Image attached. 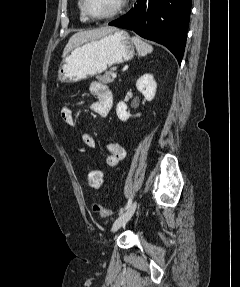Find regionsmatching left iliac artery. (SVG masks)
Instances as JSON below:
<instances>
[{
  "instance_id": "left-iliac-artery-1",
  "label": "left iliac artery",
  "mask_w": 240,
  "mask_h": 287,
  "mask_svg": "<svg viewBox=\"0 0 240 287\" xmlns=\"http://www.w3.org/2000/svg\"><path fill=\"white\" fill-rule=\"evenodd\" d=\"M131 204H132V199L129 198V200H128V202H127V204H126L124 210H127V209L130 207Z\"/></svg>"
}]
</instances>
